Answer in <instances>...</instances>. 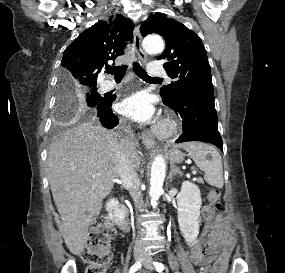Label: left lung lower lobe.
I'll return each instance as SVG.
<instances>
[{
  "label": "left lung lower lobe",
  "mask_w": 285,
  "mask_h": 273,
  "mask_svg": "<svg viewBox=\"0 0 285 273\" xmlns=\"http://www.w3.org/2000/svg\"><path fill=\"white\" fill-rule=\"evenodd\" d=\"M163 103L182 118L183 134L176 140L177 143L192 140L203 141L223 151L214 96H187L175 101L163 99Z\"/></svg>",
  "instance_id": "0a47b994"
}]
</instances>
